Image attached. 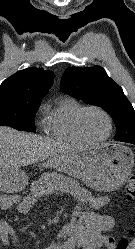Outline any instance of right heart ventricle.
Instances as JSON below:
<instances>
[{"mask_svg": "<svg viewBox=\"0 0 135 249\" xmlns=\"http://www.w3.org/2000/svg\"><path fill=\"white\" fill-rule=\"evenodd\" d=\"M83 107L78 100L71 97L59 100L49 106L45 123L47 134L64 144H86L75 127V118Z\"/></svg>", "mask_w": 135, "mask_h": 249, "instance_id": "e07e8e85", "label": "right heart ventricle"}]
</instances>
